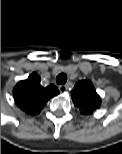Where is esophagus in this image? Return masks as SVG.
<instances>
[{
    "label": "esophagus",
    "instance_id": "1",
    "mask_svg": "<svg viewBox=\"0 0 122 154\" xmlns=\"http://www.w3.org/2000/svg\"><path fill=\"white\" fill-rule=\"evenodd\" d=\"M59 90H60V92L65 93V92H67L68 88L66 85H61V86H59Z\"/></svg>",
    "mask_w": 122,
    "mask_h": 154
}]
</instances>
